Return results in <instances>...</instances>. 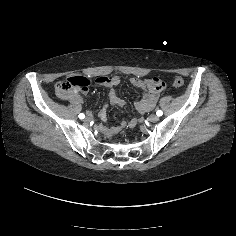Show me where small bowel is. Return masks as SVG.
Here are the masks:
<instances>
[{"instance_id":"1","label":"small bowel","mask_w":236,"mask_h":236,"mask_svg":"<svg viewBox=\"0 0 236 236\" xmlns=\"http://www.w3.org/2000/svg\"><path fill=\"white\" fill-rule=\"evenodd\" d=\"M98 81L101 82V83H105V84H108L110 81H112L113 83L117 84L119 82V79L116 78V77L111 78V79L100 78ZM141 82L142 81H139V80H136V79L133 80V83L135 85H138V86H140ZM157 82L158 81H156V83ZM158 84H159V82H158ZM156 97L157 96L155 95L152 99H150L146 103V105L143 108L138 109L139 112L140 113H145V112L149 111L153 107V105L155 104ZM70 100L74 103H77V102L81 101V97L78 96V95H73V96H70ZM110 101H111L112 104H115V105H123V101L117 97V95H116V93L113 89L110 91ZM101 115L104 116V113H102ZM135 124H136V120H133V121L130 122V126H134Z\"/></svg>"}]
</instances>
